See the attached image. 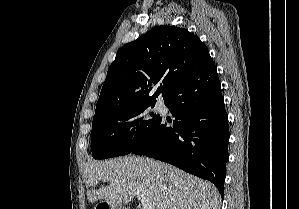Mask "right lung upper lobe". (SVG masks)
Here are the masks:
<instances>
[{
    "label": "right lung upper lobe",
    "instance_id": "cb5924a9",
    "mask_svg": "<svg viewBox=\"0 0 299 209\" xmlns=\"http://www.w3.org/2000/svg\"><path fill=\"white\" fill-rule=\"evenodd\" d=\"M207 69L217 72L207 47L197 36L184 28L154 27L118 51L108 69L95 115L155 102L160 94L165 99L181 81Z\"/></svg>",
    "mask_w": 299,
    "mask_h": 209
}]
</instances>
